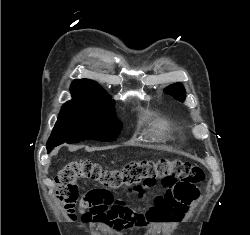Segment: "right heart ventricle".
<instances>
[{
  "label": "right heart ventricle",
  "mask_w": 250,
  "mask_h": 235,
  "mask_svg": "<svg viewBox=\"0 0 250 235\" xmlns=\"http://www.w3.org/2000/svg\"><path fill=\"white\" fill-rule=\"evenodd\" d=\"M155 130L160 136H167L169 131V124L166 121H161L155 124Z\"/></svg>",
  "instance_id": "obj_1"
}]
</instances>
